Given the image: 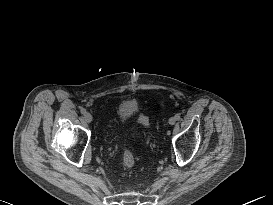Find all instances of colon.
Returning <instances> with one entry per match:
<instances>
[{
	"mask_svg": "<svg viewBox=\"0 0 273 205\" xmlns=\"http://www.w3.org/2000/svg\"><path fill=\"white\" fill-rule=\"evenodd\" d=\"M140 123L147 124L146 118H141ZM135 164V157L130 149H126L123 154V165L125 168H132Z\"/></svg>",
	"mask_w": 273,
	"mask_h": 205,
	"instance_id": "1",
	"label": "colon"
}]
</instances>
